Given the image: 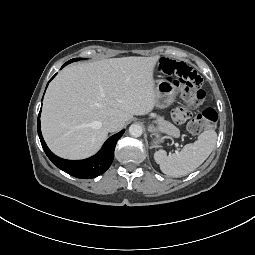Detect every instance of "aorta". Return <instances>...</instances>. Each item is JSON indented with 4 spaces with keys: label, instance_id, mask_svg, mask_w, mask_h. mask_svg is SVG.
I'll return each instance as SVG.
<instances>
[{
    "label": "aorta",
    "instance_id": "aorta-1",
    "mask_svg": "<svg viewBox=\"0 0 255 255\" xmlns=\"http://www.w3.org/2000/svg\"><path fill=\"white\" fill-rule=\"evenodd\" d=\"M143 129L139 124H132L129 127V133L133 137H140L142 135Z\"/></svg>",
    "mask_w": 255,
    "mask_h": 255
}]
</instances>
